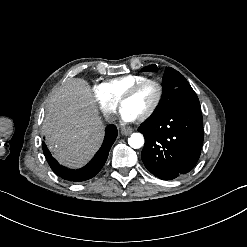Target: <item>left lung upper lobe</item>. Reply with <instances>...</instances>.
Listing matches in <instances>:
<instances>
[{"mask_svg":"<svg viewBox=\"0 0 247 247\" xmlns=\"http://www.w3.org/2000/svg\"><path fill=\"white\" fill-rule=\"evenodd\" d=\"M141 71H157L155 64L142 68ZM190 107L201 109L199 99L182 74L167 67L163 76V95L161 101L150 118L162 115L170 110Z\"/></svg>","mask_w":247,"mask_h":247,"instance_id":"5c2ea615","label":"left lung upper lobe"}]
</instances>
